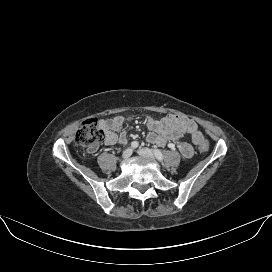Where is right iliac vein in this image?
Wrapping results in <instances>:
<instances>
[{"mask_svg":"<svg viewBox=\"0 0 272 272\" xmlns=\"http://www.w3.org/2000/svg\"><path fill=\"white\" fill-rule=\"evenodd\" d=\"M131 155H132V149L127 148L126 150L123 151L122 158L123 159H128Z\"/></svg>","mask_w":272,"mask_h":272,"instance_id":"right-iliac-vein-1","label":"right iliac vein"}]
</instances>
